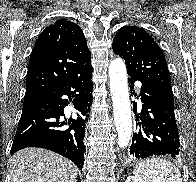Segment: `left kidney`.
<instances>
[{
	"label": "left kidney",
	"instance_id": "1",
	"mask_svg": "<svg viewBox=\"0 0 196 182\" xmlns=\"http://www.w3.org/2000/svg\"><path fill=\"white\" fill-rule=\"evenodd\" d=\"M126 182H138L133 176H128Z\"/></svg>",
	"mask_w": 196,
	"mask_h": 182
}]
</instances>
